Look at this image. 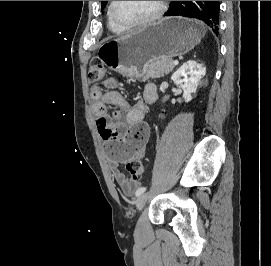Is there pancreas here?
<instances>
[{
  "label": "pancreas",
  "mask_w": 271,
  "mask_h": 266,
  "mask_svg": "<svg viewBox=\"0 0 271 266\" xmlns=\"http://www.w3.org/2000/svg\"><path fill=\"white\" fill-rule=\"evenodd\" d=\"M173 68V60L170 58L150 60L144 66L145 77L160 78L169 74V72L173 70Z\"/></svg>",
  "instance_id": "1"
}]
</instances>
